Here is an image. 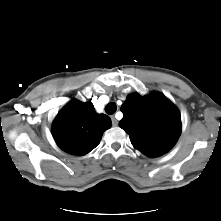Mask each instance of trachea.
<instances>
[{
	"label": "trachea",
	"mask_w": 221,
	"mask_h": 221,
	"mask_svg": "<svg viewBox=\"0 0 221 221\" xmlns=\"http://www.w3.org/2000/svg\"><path fill=\"white\" fill-rule=\"evenodd\" d=\"M117 106L114 102H110L105 107V112L109 115H112L116 112Z\"/></svg>",
	"instance_id": "trachea-1"
}]
</instances>
